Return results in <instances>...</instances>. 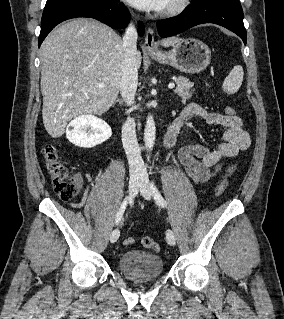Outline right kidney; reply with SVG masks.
<instances>
[{
  "label": "right kidney",
  "mask_w": 284,
  "mask_h": 319,
  "mask_svg": "<svg viewBox=\"0 0 284 319\" xmlns=\"http://www.w3.org/2000/svg\"><path fill=\"white\" fill-rule=\"evenodd\" d=\"M112 135L110 126L102 119L85 114L75 117L66 129L67 139L78 147H95Z\"/></svg>",
  "instance_id": "ca27d5eb"
}]
</instances>
